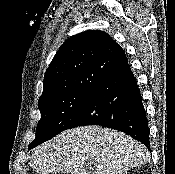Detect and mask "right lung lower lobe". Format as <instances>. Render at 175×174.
<instances>
[{
    "label": "right lung lower lobe",
    "instance_id": "right-lung-lower-lobe-1",
    "mask_svg": "<svg viewBox=\"0 0 175 174\" xmlns=\"http://www.w3.org/2000/svg\"><path fill=\"white\" fill-rule=\"evenodd\" d=\"M84 125L122 131L150 150L146 112L129 64L113 71L92 88L67 129Z\"/></svg>",
    "mask_w": 175,
    "mask_h": 174
}]
</instances>
